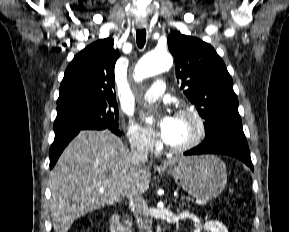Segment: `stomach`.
<instances>
[{
    "instance_id": "1",
    "label": "stomach",
    "mask_w": 289,
    "mask_h": 232,
    "mask_svg": "<svg viewBox=\"0 0 289 232\" xmlns=\"http://www.w3.org/2000/svg\"><path fill=\"white\" fill-rule=\"evenodd\" d=\"M168 174L184 191L199 199L216 198L227 184L226 166L213 155L184 157Z\"/></svg>"
}]
</instances>
